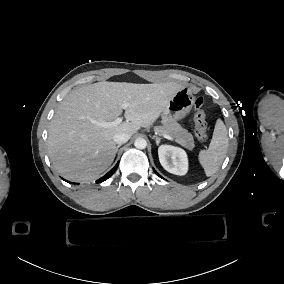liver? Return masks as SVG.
I'll list each match as a JSON object with an SVG mask.
<instances>
[{"label":"liver","instance_id":"liver-1","mask_svg":"<svg viewBox=\"0 0 284 284\" xmlns=\"http://www.w3.org/2000/svg\"><path fill=\"white\" fill-rule=\"evenodd\" d=\"M184 86L176 82L134 84L98 82L73 90L59 105L50 123L48 153L54 168L71 181L99 177L113 162L114 135L132 136L150 126L164 111L172 96ZM123 122L102 128L88 118L111 122L123 113Z\"/></svg>","mask_w":284,"mask_h":284}]
</instances>
